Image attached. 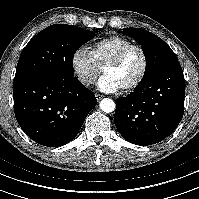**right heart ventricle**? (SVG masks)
Here are the masks:
<instances>
[{
	"mask_svg": "<svg viewBox=\"0 0 199 199\" xmlns=\"http://www.w3.org/2000/svg\"><path fill=\"white\" fill-rule=\"evenodd\" d=\"M132 41L121 36H109L95 42L91 48V55L99 68L104 67L123 48Z\"/></svg>",
	"mask_w": 199,
	"mask_h": 199,
	"instance_id": "obj_1",
	"label": "right heart ventricle"
}]
</instances>
